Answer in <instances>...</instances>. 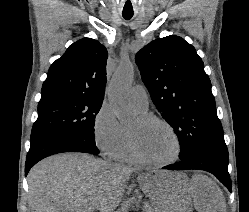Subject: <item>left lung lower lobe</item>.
Listing matches in <instances>:
<instances>
[{"instance_id":"left-lung-lower-lobe-1","label":"left lung lower lobe","mask_w":249,"mask_h":212,"mask_svg":"<svg viewBox=\"0 0 249 212\" xmlns=\"http://www.w3.org/2000/svg\"><path fill=\"white\" fill-rule=\"evenodd\" d=\"M163 168L168 170L196 169L210 172L231 191L228 150L224 137L198 144L180 162Z\"/></svg>"}]
</instances>
